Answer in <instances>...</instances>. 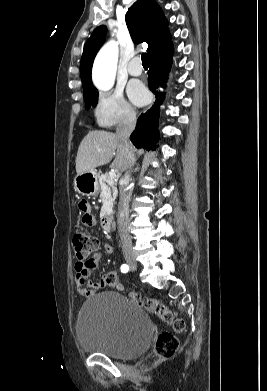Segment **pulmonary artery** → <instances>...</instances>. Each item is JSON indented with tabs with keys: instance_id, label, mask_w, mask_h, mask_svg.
<instances>
[{
	"instance_id": "1",
	"label": "pulmonary artery",
	"mask_w": 267,
	"mask_h": 391,
	"mask_svg": "<svg viewBox=\"0 0 267 391\" xmlns=\"http://www.w3.org/2000/svg\"><path fill=\"white\" fill-rule=\"evenodd\" d=\"M141 59L139 57H134L128 65V72L132 76H139L142 74Z\"/></svg>"
}]
</instances>
